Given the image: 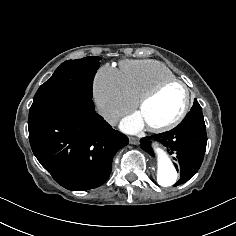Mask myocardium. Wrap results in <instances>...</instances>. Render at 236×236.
<instances>
[{"label": "myocardium", "mask_w": 236, "mask_h": 236, "mask_svg": "<svg viewBox=\"0 0 236 236\" xmlns=\"http://www.w3.org/2000/svg\"><path fill=\"white\" fill-rule=\"evenodd\" d=\"M173 84L180 85L185 91V103H184L183 109L181 113L178 115V117L168 124H165L162 126H147V129L153 133L163 134V133L170 132L174 130L175 128H177L178 126H180L185 121L191 109V98H192L191 89L188 87V85L185 82H183L180 79H177V78L165 79L158 82L151 89L145 92L137 101V107L139 110H141L148 102H150L153 98H155L162 90H164L166 87Z\"/></svg>", "instance_id": "myocardium-1"}]
</instances>
